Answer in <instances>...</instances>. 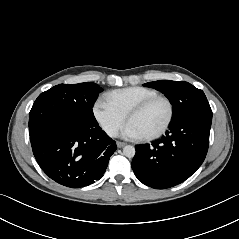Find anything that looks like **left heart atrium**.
<instances>
[{
    "label": "left heart atrium",
    "instance_id": "obj_1",
    "mask_svg": "<svg viewBox=\"0 0 239 239\" xmlns=\"http://www.w3.org/2000/svg\"><path fill=\"white\" fill-rule=\"evenodd\" d=\"M121 135L124 138L127 139H137V138H141V135L139 133V131L135 128L134 125H132L130 122H128L124 128L121 131Z\"/></svg>",
    "mask_w": 239,
    "mask_h": 239
}]
</instances>
